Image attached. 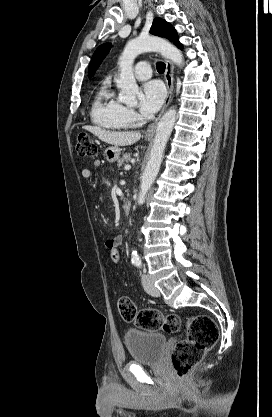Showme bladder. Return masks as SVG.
Returning <instances> with one entry per match:
<instances>
[{
  "label": "bladder",
  "instance_id": "obj_1",
  "mask_svg": "<svg viewBox=\"0 0 272 417\" xmlns=\"http://www.w3.org/2000/svg\"><path fill=\"white\" fill-rule=\"evenodd\" d=\"M124 343L135 363L158 364L164 355L167 337L161 333L129 329Z\"/></svg>",
  "mask_w": 272,
  "mask_h": 417
}]
</instances>
